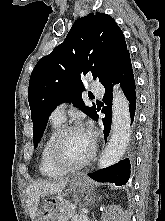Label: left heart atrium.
Masks as SVG:
<instances>
[{
  "label": "left heart atrium",
  "mask_w": 165,
  "mask_h": 221,
  "mask_svg": "<svg viewBox=\"0 0 165 221\" xmlns=\"http://www.w3.org/2000/svg\"><path fill=\"white\" fill-rule=\"evenodd\" d=\"M83 130L87 134V136L92 140L93 139V131H92L91 126L87 125Z\"/></svg>",
  "instance_id": "39dd6f15"
}]
</instances>
